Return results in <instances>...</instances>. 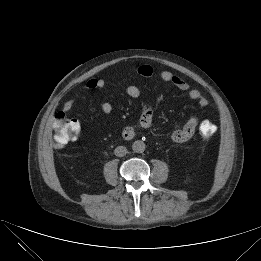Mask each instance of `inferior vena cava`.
Masks as SVG:
<instances>
[{
    "label": "inferior vena cava",
    "mask_w": 261,
    "mask_h": 261,
    "mask_svg": "<svg viewBox=\"0 0 261 261\" xmlns=\"http://www.w3.org/2000/svg\"><path fill=\"white\" fill-rule=\"evenodd\" d=\"M114 153L117 157H123L127 154V149L124 146H118L115 148Z\"/></svg>",
    "instance_id": "602c4592"
}]
</instances>
